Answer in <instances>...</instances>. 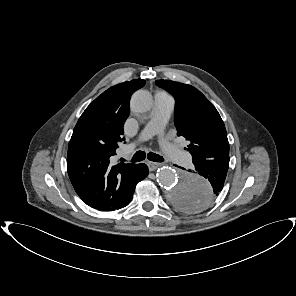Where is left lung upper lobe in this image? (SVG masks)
Returning <instances> with one entry per match:
<instances>
[{"mask_svg": "<svg viewBox=\"0 0 296 296\" xmlns=\"http://www.w3.org/2000/svg\"><path fill=\"white\" fill-rule=\"evenodd\" d=\"M156 84L175 98L174 123L177 135L190 142L187 150L193 161L229 158V143L224 123L207 98L188 84L170 80H157ZM195 201L179 199L176 205L191 210L190 206Z\"/></svg>", "mask_w": 296, "mask_h": 296, "instance_id": "obj_1", "label": "left lung upper lobe"}]
</instances>
